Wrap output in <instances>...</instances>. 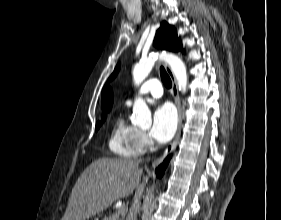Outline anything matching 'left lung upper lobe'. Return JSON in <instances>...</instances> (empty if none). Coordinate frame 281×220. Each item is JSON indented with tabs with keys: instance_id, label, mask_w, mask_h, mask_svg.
Wrapping results in <instances>:
<instances>
[{
	"instance_id": "1",
	"label": "left lung upper lobe",
	"mask_w": 281,
	"mask_h": 220,
	"mask_svg": "<svg viewBox=\"0 0 281 220\" xmlns=\"http://www.w3.org/2000/svg\"><path fill=\"white\" fill-rule=\"evenodd\" d=\"M154 45L157 48H164L171 51H179L182 49L181 42L177 37L175 28L165 21L161 24L156 33ZM118 70L119 66L117 65L108 81L112 80L117 75Z\"/></svg>"
}]
</instances>
